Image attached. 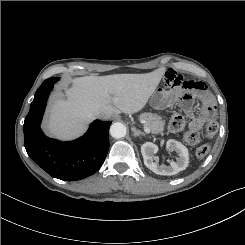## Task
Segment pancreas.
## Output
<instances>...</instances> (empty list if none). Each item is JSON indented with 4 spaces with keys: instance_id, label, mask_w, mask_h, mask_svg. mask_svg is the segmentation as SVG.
Instances as JSON below:
<instances>
[{
    "instance_id": "obj_1",
    "label": "pancreas",
    "mask_w": 245,
    "mask_h": 245,
    "mask_svg": "<svg viewBox=\"0 0 245 245\" xmlns=\"http://www.w3.org/2000/svg\"><path fill=\"white\" fill-rule=\"evenodd\" d=\"M139 119L141 122L144 123V125L149 127L151 133H153V134H159V133L162 134L163 133L165 122L157 114L142 113L139 116Z\"/></svg>"
}]
</instances>
